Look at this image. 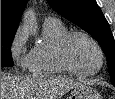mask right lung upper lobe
<instances>
[{
  "label": "right lung upper lobe",
  "mask_w": 115,
  "mask_h": 99,
  "mask_svg": "<svg viewBox=\"0 0 115 99\" xmlns=\"http://www.w3.org/2000/svg\"><path fill=\"white\" fill-rule=\"evenodd\" d=\"M28 0H1V32H15Z\"/></svg>",
  "instance_id": "right-lung-upper-lobe-1"
}]
</instances>
